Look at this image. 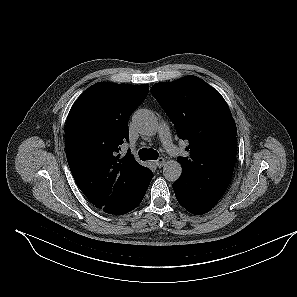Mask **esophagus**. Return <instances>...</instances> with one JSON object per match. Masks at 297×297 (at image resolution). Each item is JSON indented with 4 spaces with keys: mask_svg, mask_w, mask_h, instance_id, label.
I'll list each match as a JSON object with an SVG mask.
<instances>
[{
    "mask_svg": "<svg viewBox=\"0 0 297 297\" xmlns=\"http://www.w3.org/2000/svg\"><path fill=\"white\" fill-rule=\"evenodd\" d=\"M165 162H166L165 158L160 157L155 161V164L157 165L158 168H161L164 166Z\"/></svg>",
    "mask_w": 297,
    "mask_h": 297,
    "instance_id": "34e87169",
    "label": "esophagus"
}]
</instances>
